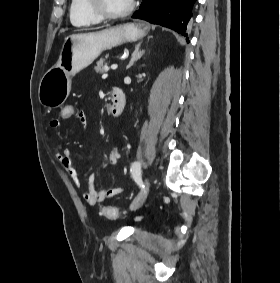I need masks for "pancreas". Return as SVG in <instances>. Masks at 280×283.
Masks as SVG:
<instances>
[{
    "mask_svg": "<svg viewBox=\"0 0 280 283\" xmlns=\"http://www.w3.org/2000/svg\"><path fill=\"white\" fill-rule=\"evenodd\" d=\"M106 58L107 57L101 58L99 61H97L96 66L94 67V69L97 73H104V72H107L109 70L108 67L107 68L104 67Z\"/></svg>",
    "mask_w": 280,
    "mask_h": 283,
    "instance_id": "1",
    "label": "pancreas"
}]
</instances>
